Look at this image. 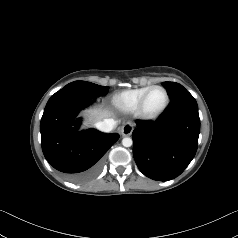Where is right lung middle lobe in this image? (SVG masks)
I'll return each instance as SVG.
<instances>
[{"label": "right lung middle lobe", "instance_id": "dd1d6c3e", "mask_svg": "<svg viewBox=\"0 0 238 238\" xmlns=\"http://www.w3.org/2000/svg\"><path fill=\"white\" fill-rule=\"evenodd\" d=\"M65 87H77L82 91H84L85 93L90 94L94 97L107 94L109 89L108 86H100L86 81H74L67 84Z\"/></svg>", "mask_w": 238, "mask_h": 238}]
</instances>
